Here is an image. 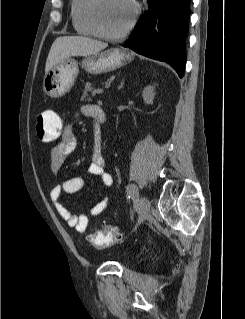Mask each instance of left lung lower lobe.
Segmentation results:
<instances>
[{"instance_id":"left-lung-lower-lobe-1","label":"left lung lower lobe","mask_w":245,"mask_h":319,"mask_svg":"<svg viewBox=\"0 0 245 319\" xmlns=\"http://www.w3.org/2000/svg\"><path fill=\"white\" fill-rule=\"evenodd\" d=\"M148 8L123 46L170 64L183 77L190 0H148Z\"/></svg>"}]
</instances>
